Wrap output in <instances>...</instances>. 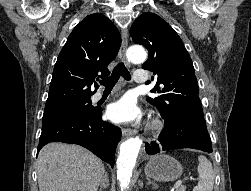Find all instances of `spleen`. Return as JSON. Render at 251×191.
Segmentation results:
<instances>
[{
    "label": "spleen",
    "mask_w": 251,
    "mask_h": 191,
    "mask_svg": "<svg viewBox=\"0 0 251 191\" xmlns=\"http://www.w3.org/2000/svg\"><path fill=\"white\" fill-rule=\"evenodd\" d=\"M199 181L193 191H213L214 171L211 161L205 155H198Z\"/></svg>",
    "instance_id": "3e777b00"
}]
</instances>
